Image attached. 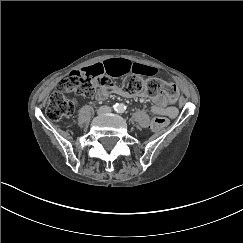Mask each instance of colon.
<instances>
[{"mask_svg":"<svg viewBox=\"0 0 243 243\" xmlns=\"http://www.w3.org/2000/svg\"><path fill=\"white\" fill-rule=\"evenodd\" d=\"M60 88L64 92H76L85 97H91L100 91H109L115 88L113 82L102 73L88 74L73 71L60 81ZM123 94L134 96L145 94L149 97L165 96L169 100H176L178 88L175 84L163 82L158 78H141L130 76L117 87ZM76 109V102L69 99L61 91L54 92L49 99L46 115L50 120L57 121L71 116ZM168 119L156 116L151 121V128L159 130L168 125Z\"/></svg>","mask_w":243,"mask_h":243,"instance_id":"colon-1","label":"colon"}]
</instances>
